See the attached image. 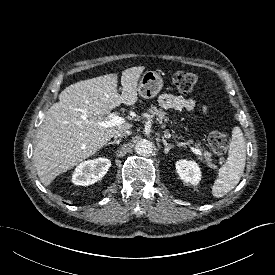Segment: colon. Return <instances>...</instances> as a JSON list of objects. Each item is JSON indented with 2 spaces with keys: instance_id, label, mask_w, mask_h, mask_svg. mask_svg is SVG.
<instances>
[{
  "instance_id": "1",
  "label": "colon",
  "mask_w": 275,
  "mask_h": 275,
  "mask_svg": "<svg viewBox=\"0 0 275 275\" xmlns=\"http://www.w3.org/2000/svg\"><path fill=\"white\" fill-rule=\"evenodd\" d=\"M173 83L181 92L192 91L197 83L198 77L191 72L179 71L173 75ZM208 142L211 148L218 154L226 152L228 148V137L219 131H214L209 134Z\"/></svg>"
}]
</instances>
